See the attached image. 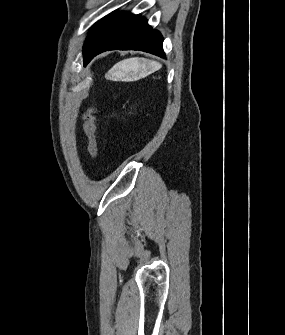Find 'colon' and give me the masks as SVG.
<instances>
[{
  "instance_id": "1",
  "label": "colon",
  "mask_w": 285,
  "mask_h": 335,
  "mask_svg": "<svg viewBox=\"0 0 285 335\" xmlns=\"http://www.w3.org/2000/svg\"><path fill=\"white\" fill-rule=\"evenodd\" d=\"M96 112L94 106H90L83 114V129L87 137V148L93 161L98 158V146L96 139Z\"/></svg>"
}]
</instances>
